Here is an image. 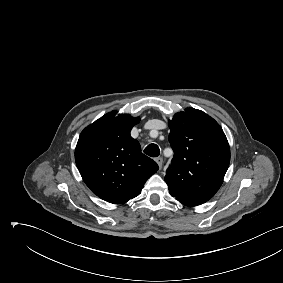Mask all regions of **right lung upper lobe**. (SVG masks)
<instances>
[{
	"label": "right lung upper lobe",
	"mask_w": 283,
	"mask_h": 283,
	"mask_svg": "<svg viewBox=\"0 0 283 283\" xmlns=\"http://www.w3.org/2000/svg\"><path fill=\"white\" fill-rule=\"evenodd\" d=\"M112 111L80 134L75 161L83 181L101 199L124 204L138 196L146 180L158 170L130 136L140 120Z\"/></svg>",
	"instance_id": "1"
}]
</instances>
